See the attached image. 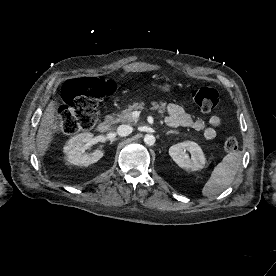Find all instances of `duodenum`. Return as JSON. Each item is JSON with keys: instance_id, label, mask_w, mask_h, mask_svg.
Returning <instances> with one entry per match:
<instances>
[{"instance_id": "410a0bca", "label": "duodenum", "mask_w": 276, "mask_h": 276, "mask_svg": "<svg viewBox=\"0 0 276 276\" xmlns=\"http://www.w3.org/2000/svg\"><path fill=\"white\" fill-rule=\"evenodd\" d=\"M111 123L108 120L101 121L97 126V131L100 133H106L110 130Z\"/></svg>"}]
</instances>
